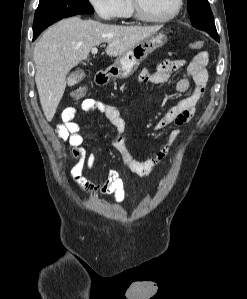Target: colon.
Instances as JSON below:
<instances>
[{"label":"colon","mask_w":247,"mask_h":299,"mask_svg":"<svg viewBox=\"0 0 247 299\" xmlns=\"http://www.w3.org/2000/svg\"><path fill=\"white\" fill-rule=\"evenodd\" d=\"M204 43L203 41H193L189 44V47L192 49V50H200L202 49ZM86 92H87V88L86 86L84 85H79L77 87H75L71 93H70V96L76 100V101H79L81 99L84 98V96L86 95Z\"/></svg>","instance_id":"obj_1"}]
</instances>
